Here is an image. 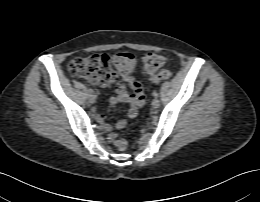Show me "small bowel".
<instances>
[{"label": "small bowel", "mask_w": 260, "mask_h": 202, "mask_svg": "<svg viewBox=\"0 0 260 202\" xmlns=\"http://www.w3.org/2000/svg\"><path fill=\"white\" fill-rule=\"evenodd\" d=\"M128 82L130 88L132 89V94H128L125 85L121 81H118L115 87L117 95L110 98V103L112 105H116L119 103L128 104L129 105L128 116L130 118H134L137 116L139 109L144 105L145 93H144L143 86L139 82L131 78L128 79ZM97 121L100 123L103 130H105L106 132L111 131L112 127L111 125L106 123L105 114H98ZM125 125L126 122L122 119L118 120L115 124L117 129H123ZM109 140L113 141V134L109 135Z\"/></svg>", "instance_id": "obj_1"}]
</instances>
